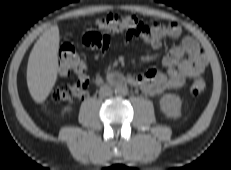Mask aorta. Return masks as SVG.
Returning <instances> with one entry per match:
<instances>
[{"label":"aorta","instance_id":"762f6f07","mask_svg":"<svg viewBox=\"0 0 231 170\" xmlns=\"http://www.w3.org/2000/svg\"><path fill=\"white\" fill-rule=\"evenodd\" d=\"M115 93L119 96H125L128 94V88L126 85L119 84L115 87Z\"/></svg>","mask_w":231,"mask_h":170}]
</instances>
